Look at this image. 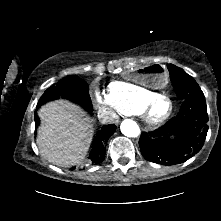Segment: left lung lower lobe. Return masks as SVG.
I'll return each mask as SVG.
<instances>
[{
    "mask_svg": "<svg viewBox=\"0 0 221 221\" xmlns=\"http://www.w3.org/2000/svg\"><path fill=\"white\" fill-rule=\"evenodd\" d=\"M208 120L204 96L184 100L177 116L154 131L142 133V156L162 165L184 163L204 145Z\"/></svg>",
    "mask_w": 221,
    "mask_h": 221,
    "instance_id": "left-lung-lower-lobe-1",
    "label": "left lung lower lobe"
}]
</instances>
